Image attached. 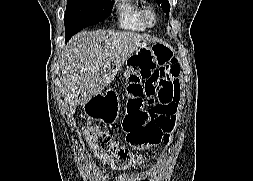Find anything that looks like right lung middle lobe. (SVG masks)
I'll use <instances>...</instances> for the list:
<instances>
[{"label":"right lung middle lobe","mask_w":253,"mask_h":181,"mask_svg":"<svg viewBox=\"0 0 253 181\" xmlns=\"http://www.w3.org/2000/svg\"><path fill=\"white\" fill-rule=\"evenodd\" d=\"M112 11V0H68L64 16L65 36L105 20Z\"/></svg>","instance_id":"right-lung-middle-lobe-1"}]
</instances>
